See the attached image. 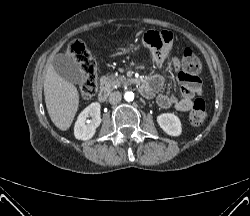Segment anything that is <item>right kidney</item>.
Masks as SVG:
<instances>
[{
    "label": "right kidney",
    "mask_w": 250,
    "mask_h": 216,
    "mask_svg": "<svg viewBox=\"0 0 250 216\" xmlns=\"http://www.w3.org/2000/svg\"><path fill=\"white\" fill-rule=\"evenodd\" d=\"M100 109V103L94 102L79 114L74 126L76 139L89 140L94 136L96 128L101 123ZM88 117H91V120H88Z\"/></svg>",
    "instance_id": "obj_1"
}]
</instances>
